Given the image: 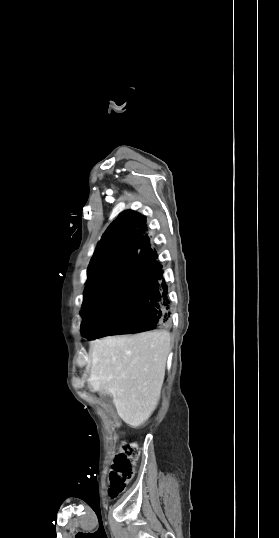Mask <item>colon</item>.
<instances>
[{
  "label": "colon",
  "instance_id": "1",
  "mask_svg": "<svg viewBox=\"0 0 279 538\" xmlns=\"http://www.w3.org/2000/svg\"><path fill=\"white\" fill-rule=\"evenodd\" d=\"M139 456V447L134 442L123 443L112 463L109 475L108 493L115 498L122 493L133 476L134 465Z\"/></svg>",
  "mask_w": 279,
  "mask_h": 538
}]
</instances>
